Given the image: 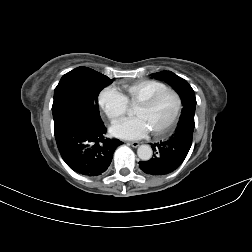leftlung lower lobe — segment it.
Wrapping results in <instances>:
<instances>
[{
    "label": "left lung lower lobe",
    "instance_id": "0a47b994",
    "mask_svg": "<svg viewBox=\"0 0 252 252\" xmlns=\"http://www.w3.org/2000/svg\"><path fill=\"white\" fill-rule=\"evenodd\" d=\"M195 111V105L187 107ZM194 118L183 116L172 136L165 141L152 144L153 157L139 162L140 169L148 175H166L176 170L186 158L192 145Z\"/></svg>",
    "mask_w": 252,
    "mask_h": 252
}]
</instances>
